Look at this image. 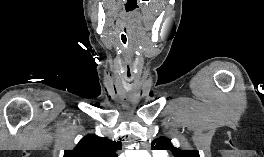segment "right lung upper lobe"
Wrapping results in <instances>:
<instances>
[{
  "mask_svg": "<svg viewBox=\"0 0 264 157\" xmlns=\"http://www.w3.org/2000/svg\"><path fill=\"white\" fill-rule=\"evenodd\" d=\"M118 150H121L120 141L90 134L82 138L73 150H65L63 157H117Z\"/></svg>",
  "mask_w": 264,
  "mask_h": 157,
  "instance_id": "cb5924a9",
  "label": "right lung upper lobe"
}]
</instances>
